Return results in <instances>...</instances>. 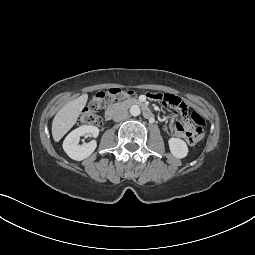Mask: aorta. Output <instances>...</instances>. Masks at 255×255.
Masks as SVG:
<instances>
[{
	"label": "aorta",
	"instance_id": "obj_1",
	"mask_svg": "<svg viewBox=\"0 0 255 255\" xmlns=\"http://www.w3.org/2000/svg\"><path fill=\"white\" fill-rule=\"evenodd\" d=\"M141 113L140 107L138 105H133L130 107V114L132 116H139Z\"/></svg>",
	"mask_w": 255,
	"mask_h": 255
}]
</instances>
